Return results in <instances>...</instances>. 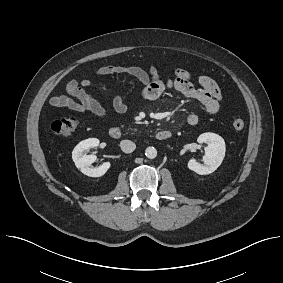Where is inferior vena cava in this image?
I'll return each mask as SVG.
<instances>
[{"label":"inferior vena cava","mask_w":283,"mask_h":283,"mask_svg":"<svg viewBox=\"0 0 283 283\" xmlns=\"http://www.w3.org/2000/svg\"><path fill=\"white\" fill-rule=\"evenodd\" d=\"M121 150L125 153H131L135 150L136 145L130 140H123L120 143Z\"/></svg>","instance_id":"obj_1"}]
</instances>
